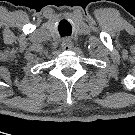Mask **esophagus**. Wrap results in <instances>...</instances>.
<instances>
[{
	"mask_svg": "<svg viewBox=\"0 0 135 135\" xmlns=\"http://www.w3.org/2000/svg\"><path fill=\"white\" fill-rule=\"evenodd\" d=\"M61 48L62 50L64 51H68L72 48V42L70 39L68 38H65L63 41H62V44H61Z\"/></svg>",
	"mask_w": 135,
	"mask_h": 135,
	"instance_id": "1",
	"label": "esophagus"
}]
</instances>
